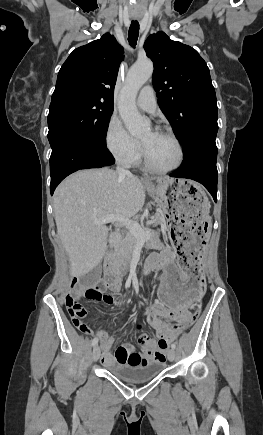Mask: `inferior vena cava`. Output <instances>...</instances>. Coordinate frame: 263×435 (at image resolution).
I'll list each match as a JSON object with an SVG mask.
<instances>
[{
	"label": "inferior vena cava",
	"mask_w": 263,
	"mask_h": 435,
	"mask_svg": "<svg viewBox=\"0 0 263 435\" xmlns=\"http://www.w3.org/2000/svg\"><path fill=\"white\" fill-rule=\"evenodd\" d=\"M116 172H117V174H118L119 176H127V175H131L130 171H128V170H126V169H124V168H121V167H119V166H117V168H116Z\"/></svg>",
	"instance_id": "1"
}]
</instances>
